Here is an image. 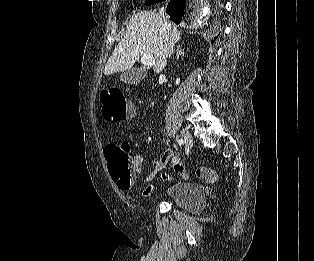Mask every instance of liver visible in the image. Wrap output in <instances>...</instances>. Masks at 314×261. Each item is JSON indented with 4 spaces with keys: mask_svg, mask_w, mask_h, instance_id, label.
I'll use <instances>...</instances> for the list:
<instances>
[{
    "mask_svg": "<svg viewBox=\"0 0 314 261\" xmlns=\"http://www.w3.org/2000/svg\"><path fill=\"white\" fill-rule=\"evenodd\" d=\"M165 22L153 11L133 13L127 23L124 37L115 47L104 68V74L110 75L131 69L144 54L153 55L154 72L159 74L166 66L169 37L174 43L180 40V32L170 25L165 27Z\"/></svg>",
    "mask_w": 314,
    "mask_h": 261,
    "instance_id": "6515ba94",
    "label": "liver"
}]
</instances>
